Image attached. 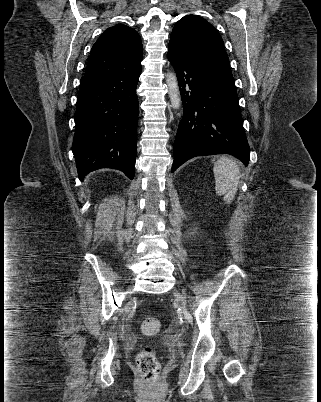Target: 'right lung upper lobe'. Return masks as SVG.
<instances>
[{
  "mask_svg": "<svg viewBox=\"0 0 321 402\" xmlns=\"http://www.w3.org/2000/svg\"><path fill=\"white\" fill-rule=\"evenodd\" d=\"M142 44L138 33L123 24L106 29L93 45L85 75L141 69Z\"/></svg>",
  "mask_w": 321,
  "mask_h": 402,
  "instance_id": "obj_1",
  "label": "right lung upper lobe"
}]
</instances>
